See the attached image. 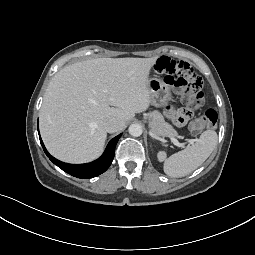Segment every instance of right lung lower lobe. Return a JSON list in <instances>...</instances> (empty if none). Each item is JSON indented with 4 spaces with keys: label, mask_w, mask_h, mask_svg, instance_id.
<instances>
[{
    "label": "right lung lower lobe",
    "mask_w": 255,
    "mask_h": 255,
    "mask_svg": "<svg viewBox=\"0 0 255 255\" xmlns=\"http://www.w3.org/2000/svg\"><path fill=\"white\" fill-rule=\"evenodd\" d=\"M121 135L122 134H119L109 142L105 152L99 159L86 164H68L61 162L47 152L41 138L40 142L44 152L55 165L74 177L86 179L96 177L108 169L113 161L115 147Z\"/></svg>",
    "instance_id": "98d812e1"
}]
</instances>
